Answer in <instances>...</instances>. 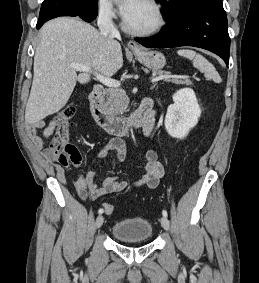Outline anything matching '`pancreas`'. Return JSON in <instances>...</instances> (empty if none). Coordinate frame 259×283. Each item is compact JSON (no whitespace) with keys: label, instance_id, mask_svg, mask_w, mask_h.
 <instances>
[{"label":"pancreas","instance_id":"1","mask_svg":"<svg viewBox=\"0 0 259 283\" xmlns=\"http://www.w3.org/2000/svg\"><path fill=\"white\" fill-rule=\"evenodd\" d=\"M157 75H169L161 70L154 71ZM166 82H172L177 85H192V81L188 78L186 79H164ZM129 104L126 92L123 89L111 88L106 94V107L114 115H122Z\"/></svg>","mask_w":259,"mask_h":283}]
</instances>
